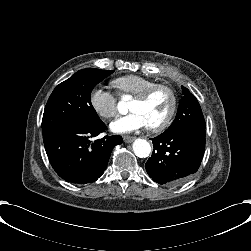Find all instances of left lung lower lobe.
I'll return each mask as SVG.
<instances>
[{"label":"left lung lower lobe","mask_w":251,"mask_h":251,"mask_svg":"<svg viewBox=\"0 0 251 251\" xmlns=\"http://www.w3.org/2000/svg\"><path fill=\"white\" fill-rule=\"evenodd\" d=\"M205 128L189 126L152 138L154 151L146 171L159 184L178 185L200 167L205 150Z\"/></svg>","instance_id":"obj_1"}]
</instances>
